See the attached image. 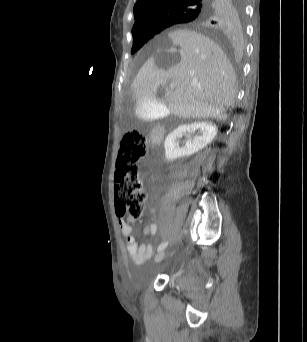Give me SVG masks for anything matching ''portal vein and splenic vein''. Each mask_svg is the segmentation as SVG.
I'll return each instance as SVG.
<instances>
[{
    "label": "portal vein and splenic vein",
    "instance_id": "portal-vein-and-splenic-vein-1",
    "mask_svg": "<svg viewBox=\"0 0 307 342\" xmlns=\"http://www.w3.org/2000/svg\"><path fill=\"white\" fill-rule=\"evenodd\" d=\"M176 86H177V82H171L170 88H176Z\"/></svg>",
    "mask_w": 307,
    "mask_h": 342
}]
</instances>
